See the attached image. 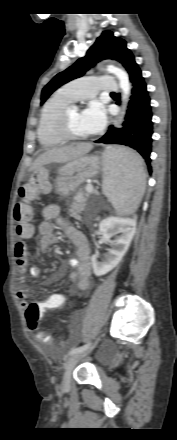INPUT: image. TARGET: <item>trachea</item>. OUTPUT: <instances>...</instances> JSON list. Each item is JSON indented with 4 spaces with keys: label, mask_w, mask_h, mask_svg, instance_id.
<instances>
[{
    "label": "trachea",
    "mask_w": 177,
    "mask_h": 440,
    "mask_svg": "<svg viewBox=\"0 0 177 440\" xmlns=\"http://www.w3.org/2000/svg\"><path fill=\"white\" fill-rule=\"evenodd\" d=\"M111 95H115V93H114V92H112V93H111Z\"/></svg>",
    "instance_id": "obj_1"
}]
</instances>
